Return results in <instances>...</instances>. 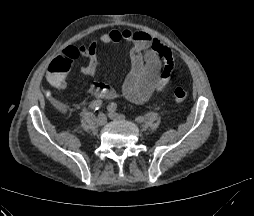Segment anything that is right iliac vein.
Returning a JSON list of instances; mask_svg holds the SVG:
<instances>
[{
	"label": "right iliac vein",
	"instance_id": "obj_1",
	"mask_svg": "<svg viewBox=\"0 0 254 216\" xmlns=\"http://www.w3.org/2000/svg\"><path fill=\"white\" fill-rule=\"evenodd\" d=\"M107 122V117L104 113H99V115L97 116V119H96V123L98 126H103L105 125Z\"/></svg>",
	"mask_w": 254,
	"mask_h": 216
}]
</instances>
